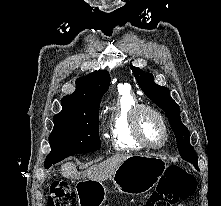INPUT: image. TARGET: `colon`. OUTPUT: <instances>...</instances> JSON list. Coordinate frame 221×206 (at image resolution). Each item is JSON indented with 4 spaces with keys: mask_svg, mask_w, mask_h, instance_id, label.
I'll list each match as a JSON object with an SVG mask.
<instances>
[{
    "mask_svg": "<svg viewBox=\"0 0 221 206\" xmlns=\"http://www.w3.org/2000/svg\"><path fill=\"white\" fill-rule=\"evenodd\" d=\"M196 190L195 178L178 166L166 171L165 181L150 195L144 206H174ZM48 206H77L76 193L64 180L54 181L49 188Z\"/></svg>",
    "mask_w": 221,
    "mask_h": 206,
    "instance_id": "colon-1",
    "label": "colon"
}]
</instances>
